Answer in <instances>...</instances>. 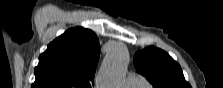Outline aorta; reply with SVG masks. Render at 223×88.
<instances>
[{
	"label": "aorta",
	"instance_id": "1",
	"mask_svg": "<svg viewBox=\"0 0 223 88\" xmlns=\"http://www.w3.org/2000/svg\"><path fill=\"white\" fill-rule=\"evenodd\" d=\"M129 52L125 45L115 44L107 53L101 68V79L104 88H122Z\"/></svg>",
	"mask_w": 223,
	"mask_h": 88
}]
</instances>
